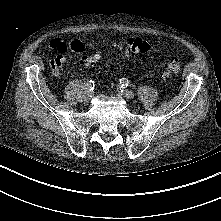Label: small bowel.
Masks as SVG:
<instances>
[{
	"label": "small bowel",
	"instance_id": "1",
	"mask_svg": "<svg viewBox=\"0 0 221 221\" xmlns=\"http://www.w3.org/2000/svg\"><path fill=\"white\" fill-rule=\"evenodd\" d=\"M49 45L58 52V54L50 60V67L55 75L60 74L61 68L66 61V54L69 51L78 55H84L86 53V46L80 41L67 43L60 39H53Z\"/></svg>",
	"mask_w": 221,
	"mask_h": 221
}]
</instances>
